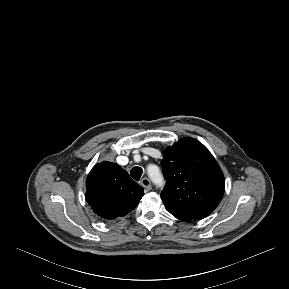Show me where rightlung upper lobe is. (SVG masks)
I'll return each mask as SVG.
<instances>
[{"instance_id":"cb5924a9","label":"right lung upper lobe","mask_w":289,"mask_h":289,"mask_svg":"<svg viewBox=\"0 0 289 289\" xmlns=\"http://www.w3.org/2000/svg\"><path fill=\"white\" fill-rule=\"evenodd\" d=\"M86 187V201L104 219L123 217L138 205L144 195V189L130 178L127 171L108 161L92 168Z\"/></svg>"}]
</instances>
